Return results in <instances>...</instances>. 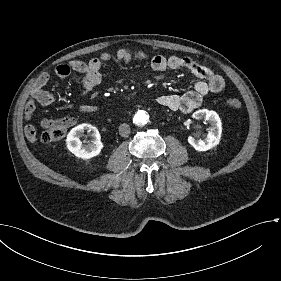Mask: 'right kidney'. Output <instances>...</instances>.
Returning a JSON list of instances; mask_svg holds the SVG:
<instances>
[{"mask_svg": "<svg viewBox=\"0 0 281 281\" xmlns=\"http://www.w3.org/2000/svg\"><path fill=\"white\" fill-rule=\"evenodd\" d=\"M87 131L88 136L91 140L87 144H82L80 137L83 136L84 132ZM103 144L98 129L91 124L83 123L71 130V152L82 159H90L97 156Z\"/></svg>", "mask_w": 281, "mask_h": 281, "instance_id": "ca27d5eb", "label": "right kidney"}]
</instances>
